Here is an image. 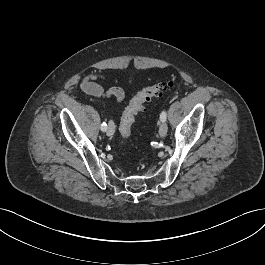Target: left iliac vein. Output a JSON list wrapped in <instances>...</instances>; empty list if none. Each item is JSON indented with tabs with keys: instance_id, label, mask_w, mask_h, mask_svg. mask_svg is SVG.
Returning a JSON list of instances; mask_svg holds the SVG:
<instances>
[{
	"instance_id": "4c4485c4",
	"label": "left iliac vein",
	"mask_w": 265,
	"mask_h": 265,
	"mask_svg": "<svg viewBox=\"0 0 265 265\" xmlns=\"http://www.w3.org/2000/svg\"><path fill=\"white\" fill-rule=\"evenodd\" d=\"M168 131V126L165 121H162L159 127V135L160 137H165Z\"/></svg>"
}]
</instances>
